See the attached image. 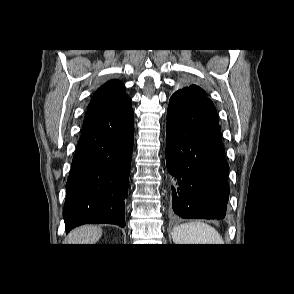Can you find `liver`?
Returning a JSON list of instances; mask_svg holds the SVG:
<instances>
[{"instance_id":"obj_1","label":"liver","mask_w":294,"mask_h":294,"mask_svg":"<svg viewBox=\"0 0 294 294\" xmlns=\"http://www.w3.org/2000/svg\"><path fill=\"white\" fill-rule=\"evenodd\" d=\"M102 236V228L94 225H83L68 235L69 244H95Z\"/></svg>"}]
</instances>
